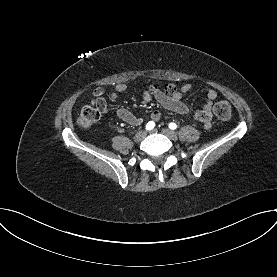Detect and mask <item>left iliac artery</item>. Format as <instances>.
Returning <instances> with one entry per match:
<instances>
[{"instance_id": "obj_1", "label": "left iliac artery", "mask_w": 277, "mask_h": 277, "mask_svg": "<svg viewBox=\"0 0 277 277\" xmlns=\"http://www.w3.org/2000/svg\"><path fill=\"white\" fill-rule=\"evenodd\" d=\"M169 128L172 129V130H174V129L177 128V125H176L175 123H170V124H169Z\"/></svg>"}]
</instances>
